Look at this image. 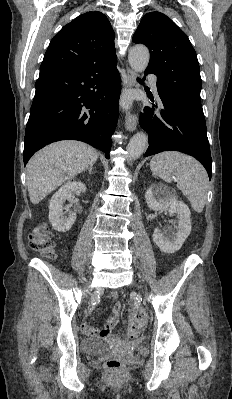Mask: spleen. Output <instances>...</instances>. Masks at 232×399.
Returning <instances> with one entry per match:
<instances>
[{
  "mask_svg": "<svg viewBox=\"0 0 232 399\" xmlns=\"http://www.w3.org/2000/svg\"><path fill=\"white\" fill-rule=\"evenodd\" d=\"M150 170L168 184L176 178L177 188L188 198L193 209L203 211L209 180L205 168L197 160L180 152H162L153 156Z\"/></svg>",
  "mask_w": 232,
  "mask_h": 399,
  "instance_id": "1",
  "label": "spleen"
}]
</instances>
